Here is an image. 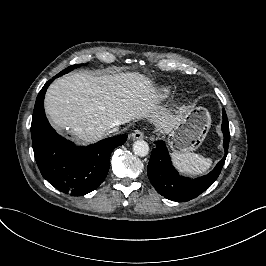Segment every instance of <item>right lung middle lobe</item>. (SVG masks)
I'll return each instance as SVG.
<instances>
[{
    "label": "right lung middle lobe",
    "instance_id": "1",
    "mask_svg": "<svg viewBox=\"0 0 266 266\" xmlns=\"http://www.w3.org/2000/svg\"><path fill=\"white\" fill-rule=\"evenodd\" d=\"M81 65H82V64H76V65L70 66V67L66 68L65 70H63L62 72H60L59 74H60V75H63V74H65V73H68L69 71H71V70H73L74 68L79 67V66H81Z\"/></svg>",
    "mask_w": 266,
    "mask_h": 266
}]
</instances>
